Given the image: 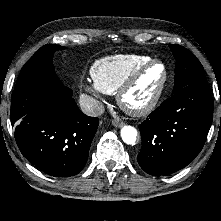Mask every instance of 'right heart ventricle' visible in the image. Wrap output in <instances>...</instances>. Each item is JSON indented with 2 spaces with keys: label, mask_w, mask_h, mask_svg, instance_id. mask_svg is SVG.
I'll use <instances>...</instances> for the list:
<instances>
[{
  "label": "right heart ventricle",
  "mask_w": 221,
  "mask_h": 221,
  "mask_svg": "<svg viewBox=\"0 0 221 221\" xmlns=\"http://www.w3.org/2000/svg\"><path fill=\"white\" fill-rule=\"evenodd\" d=\"M151 59L145 55L107 56L93 63L90 74L102 92L115 94L134 70Z\"/></svg>",
  "instance_id": "1"
}]
</instances>
